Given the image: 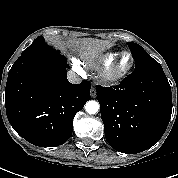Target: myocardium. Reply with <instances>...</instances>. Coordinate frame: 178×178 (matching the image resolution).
Masks as SVG:
<instances>
[{"label":"myocardium","instance_id":"f54148a6","mask_svg":"<svg viewBox=\"0 0 178 178\" xmlns=\"http://www.w3.org/2000/svg\"><path fill=\"white\" fill-rule=\"evenodd\" d=\"M124 54H128L131 57V64L125 70H118L120 59ZM135 65L133 54L128 51L121 52L116 59L109 65L102 73V80L107 84H117L124 80L132 71Z\"/></svg>","mask_w":178,"mask_h":178}]
</instances>
